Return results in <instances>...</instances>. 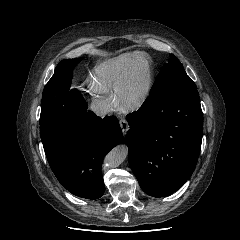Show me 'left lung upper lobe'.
I'll use <instances>...</instances> for the list:
<instances>
[{
	"label": "left lung upper lobe",
	"instance_id": "left-lung-upper-lobe-1",
	"mask_svg": "<svg viewBox=\"0 0 240 240\" xmlns=\"http://www.w3.org/2000/svg\"><path fill=\"white\" fill-rule=\"evenodd\" d=\"M169 89H196L195 83L186 74L178 58L171 54L169 62L156 78L149 97H154Z\"/></svg>",
	"mask_w": 240,
	"mask_h": 240
}]
</instances>
